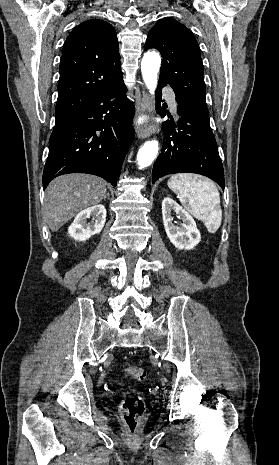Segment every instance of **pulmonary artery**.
I'll use <instances>...</instances> for the list:
<instances>
[{
	"label": "pulmonary artery",
	"mask_w": 279,
	"mask_h": 465,
	"mask_svg": "<svg viewBox=\"0 0 279 465\" xmlns=\"http://www.w3.org/2000/svg\"><path fill=\"white\" fill-rule=\"evenodd\" d=\"M165 94L167 96L170 108L172 109L173 112H176L177 105H176L175 95L167 89L165 90Z\"/></svg>",
	"instance_id": "e3ab8cb5"
}]
</instances>
